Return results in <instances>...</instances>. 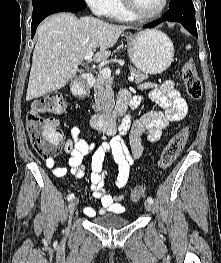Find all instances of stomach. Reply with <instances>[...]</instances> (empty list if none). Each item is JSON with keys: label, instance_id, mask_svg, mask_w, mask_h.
<instances>
[{"label": "stomach", "instance_id": "obj_1", "mask_svg": "<svg viewBox=\"0 0 221 263\" xmlns=\"http://www.w3.org/2000/svg\"><path fill=\"white\" fill-rule=\"evenodd\" d=\"M128 53L135 67L146 74H160L172 63L174 46L163 32L152 29L127 37Z\"/></svg>", "mask_w": 221, "mask_h": 263}]
</instances>
